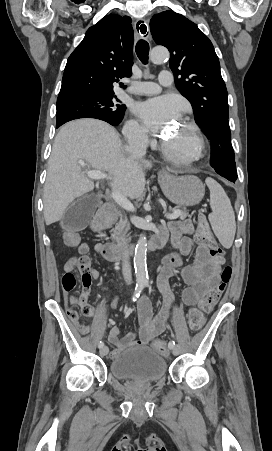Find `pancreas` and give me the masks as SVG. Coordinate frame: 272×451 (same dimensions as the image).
<instances>
[{"label": "pancreas", "mask_w": 272, "mask_h": 451, "mask_svg": "<svg viewBox=\"0 0 272 451\" xmlns=\"http://www.w3.org/2000/svg\"><path fill=\"white\" fill-rule=\"evenodd\" d=\"M169 210H176V208H170L169 206ZM187 216L188 212L186 208H182V210H180V220H185ZM128 229H130V224L127 218L120 220V222H118L115 227H112V229H110L111 237L115 245H122V243H125V241H128V239H130V237H127L126 235V233H128Z\"/></svg>", "instance_id": "pancreas-1"}]
</instances>
